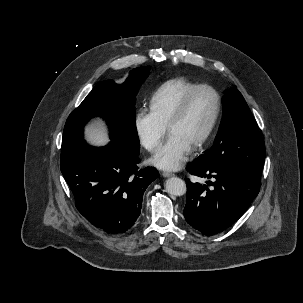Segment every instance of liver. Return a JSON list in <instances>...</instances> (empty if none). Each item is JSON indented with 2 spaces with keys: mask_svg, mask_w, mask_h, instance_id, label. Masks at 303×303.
I'll list each match as a JSON object with an SVG mask.
<instances>
[{
  "mask_svg": "<svg viewBox=\"0 0 303 303\" xmlns=\"http://www.w3.org/2000/svg\"><path fill=\"white\" fill-rule=\"evenodd\" d=\"M86 139L96 145L108 142L106 130L101 122L94 123L86 128Z\"/></svg>",
  "mask_w": 303,
  "mask_h": 303,
  "instance_id": "1",
  "label": "liver"
}]
</instances>
